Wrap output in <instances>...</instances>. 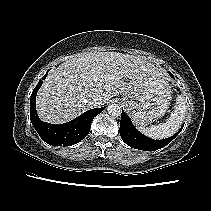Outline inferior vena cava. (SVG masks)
Wrapping results in <instances>:
<instances>
[{"mask_svg": "<svg viewBox=\"0 0 211 211\" xmlns=\"http://www.w3.org/2000/svg\"><path fill=\"white\" fill-rule=\"evenodd\" d=\"M102 99L101 95H95L90 99L89 104L91 107L100 106L102 104Z\"/></svg>", "mask_w": 211, "mask_h": 211, "instance_id": "1", "label": "inferior vena cava"}]
</instances>
